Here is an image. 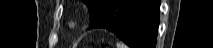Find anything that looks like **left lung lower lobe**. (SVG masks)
I'll return each instance as SVG.
<instances>
[{
	"label": "left lung lower lobe",
	"instance_id": "left-lung-lower-lobe-1",
	"mask_svg": "<svg viewBox=\"0 0 213 48\" xmlns=\"http://www.w3.org/2000/svg\"><path fill=\"white\" fill-rule=\"evenodd\" d=\"M160 0H110L89 29L106 28L131 48H155Z\"/></svg>",
	"mask_w": 213,
	"mask_h": 48
}]
</instances>
